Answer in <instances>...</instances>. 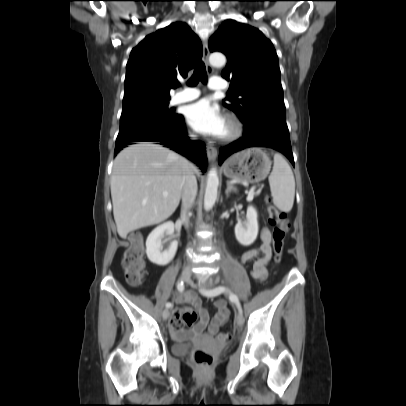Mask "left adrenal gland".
<instances>
[{"mask_svg": "<svg viewBox=\"0 0 406 406\" xmlns=\"http://www.w3.org/2000/svg\"><path fill=\"white\" fill-rule=\"evenodd\" d=\"M237 192V188L231 184L229 181L227 182V189L225 190V194L228 197L230 192Z\"/></svg>", "mask_w": 406, "mask_h": 406, "instance_id": "1", "label": "left adrenal gland"}]
</instances>
